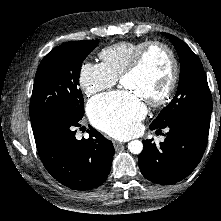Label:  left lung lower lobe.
Returning <instances> with one entry per match:
<instances>
[{
	"mask_svg": "<svg viewBox=\"0 0 221 221\" xmlns=\"http://www.w3.org/2000/svg\"><path fill=\"white\" fill-rule=\"evenodd\" d=\"M209 127L210 117L191 115L168 124L166 139L159 145L153 139L144 140L138 160L142 174L158 184H174L187 177L203 156Z\"/></svg>",
	"mask_w": 221,
	"mask_h": 221,
	"instance_id": "0a47b994",
	"label": "left lung lower lobe"
}]
</instances>
